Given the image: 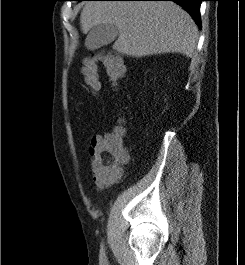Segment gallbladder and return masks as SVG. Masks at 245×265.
I'll list each match as a JSON object with an SVG mask.
<instances>
[{
	"mask_svg": "<svg viewBox=\"0 0 245 265\" xmlns=\"http://www.w3.org/2000/svg\"><path fill=\"white\" fill-rule=\"evenodd\" d=\"M119 32L113 24H98L93 26L86 38L87 47L90 49H99L112 43Z\"/></svg>",
	"mask_w": 245,
	"mask_h": 265,
	"instance_id": "bac80fb5",
	"label": "gallbladder"
}]
</instances>
